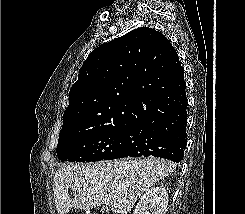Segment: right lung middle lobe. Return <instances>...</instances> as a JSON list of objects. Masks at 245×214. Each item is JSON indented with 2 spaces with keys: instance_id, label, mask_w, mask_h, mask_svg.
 Segmentation results:
<instances>
[{
  "instance_id": "1",
  "label": "right lung middle lobe",
  "mask_w": 245,
  "mask_h": 214,
  "mask_svg": "<svg viewBox=\"0 0 245 214\" xmlns=\"http://www.w3.org/2000/svg\"><path fill=\"white\" fill-rule=\"evenodd\" d=\"M132 118H123L95 126L63 117L57 156L61 161L92 162L111 160L118 156Z\"/></svg>"
}]
</instances>
